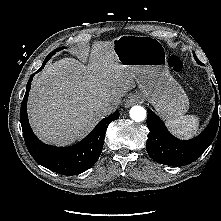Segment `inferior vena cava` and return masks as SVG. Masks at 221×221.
I'll return each instance as SVG.
<instances>
[{
	"label": "inferior vena cava",
	"mask_w": 221,
	"mask_h": 221,
	"mask_svg": "<svg viewBox=\"0 0 221 221\" xmlns=\"http://www.w3.org/2000/svg\"><path fill=\"white\" fill-rule=\"evenodd\" d=\"M118 106L119 103L116 101L106 102L103 104V111L106 115L111 114L118 108Z\"/></svg>",
	"instance_id": "obj_1"
}]
</instances>
